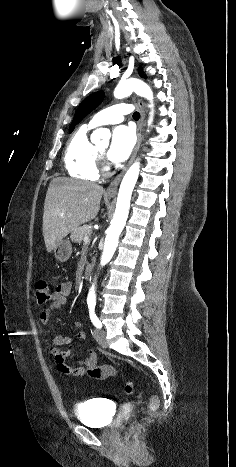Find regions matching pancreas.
<instances>
[{"label": "pancreas", "instance_id": "1", "mask_svg": "<svg viewBox=\"0 0 236 467\" xmlns=\"http://www.w3.org/2000/svg\"><path fill=\"white\" fill-rule=\"evenodd\" d=\"M90 233L91 230L86 227H77L72 231L70 238L72 242L80 244L84 237L90 235Z\"/></svg>", "mask_w": 236, "mask_h": 467}]
</instances>
